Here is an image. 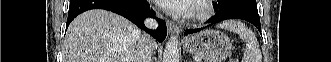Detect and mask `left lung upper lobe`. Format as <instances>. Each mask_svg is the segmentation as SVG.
Listing matches in <instances>:
<instances>
[{"label":"left lung upper lobe","instance_id":"5c2ea615","mask_svg":"<svg viewBox=\"0 0 331 62\" xmlns=\"http://www.w3.org/2000/svg\"><path fill=\"white\" fill-rule=\"evenodd\" d=\"M234 3H244L253 7H257L256 0H217V5L214 4V7L216 8L218 6L219 9H223Z\"/></svg>","mask_w":331,"mask_h":62}]
</instances>
